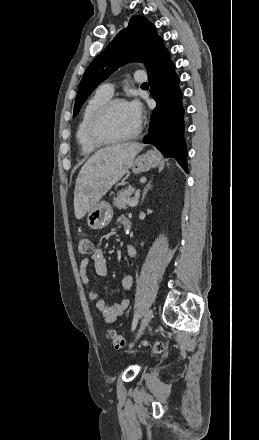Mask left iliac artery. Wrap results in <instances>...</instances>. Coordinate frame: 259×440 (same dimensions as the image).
<instances>
[{"label":"left iliac artery","mask_w":259,"mask_h":440,"mask_svg":"<svg viewBox=\"0 0 259 440\" xmlns=\"http://www.w3.org/2000/svg\"><path fill=\"white\" fill-rule=\"evenodd\" d=\"M137 323H138V314H136L134 316V319H133V322H132V331L136 328Z\"/></svg>","instance_id":"1"}]
</instances>
